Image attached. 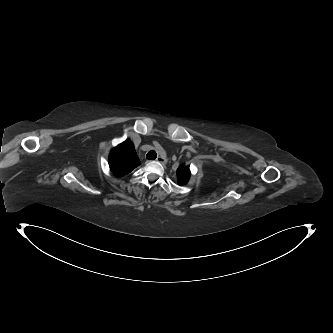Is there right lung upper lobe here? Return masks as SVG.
Here are the masks:
<instances>
[{"mask_svg":"<svg viewBox=\"0 0 333 333\" xmlns=\"http://www.w3.org/2000/svg\"><path fill=\"white\" fill-rule=\"evenodd\" d=\"M141 164L132 142L128 139L113 148L109 155L110 170L116 176H124Z\"/></svg>","mask_w":333,"mask_h":333,"instance_id":"cb5924a9","label":"right lung upper lobe"}]
</instances>
